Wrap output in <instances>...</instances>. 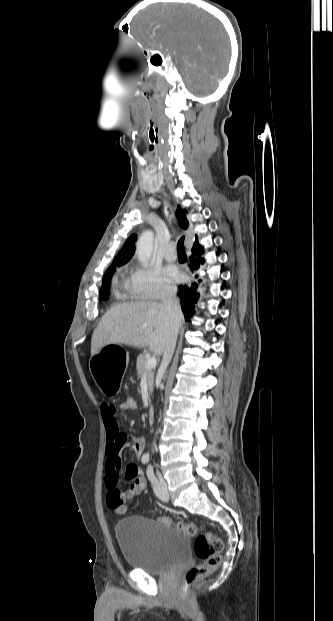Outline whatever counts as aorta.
<instances>
[{
	"label": "aorta",
	"mask_w": 333,
	"mask_h": 621,
	"mask_svg": "<svg viewBox=\"0 0 333 621\" xmlns=\"http://www.w3.org/2000/svg\"><path fill=\"white\" fill-rule=\"evenodd\" d=\"M153 239L154 233L149 230L142 233L136 243V254L142 264H146L151 257L153 251Z\"/></svg>",
	"instance_id": "762f6f07"
}]
</instances>
